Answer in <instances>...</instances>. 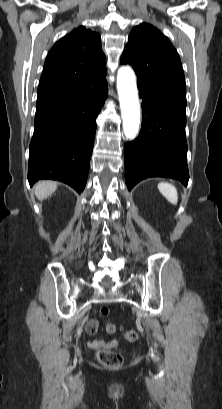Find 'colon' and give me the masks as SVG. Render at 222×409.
I'll use <instances>...</instances> for the list:
<instances>
[{
    "mask_svg": "<svg viewBox=\"0 0 222 409\" xmlns=\"http://www.w3.org/2000/svg\"><path fill=\"white\" fill-rule=\"evenodd\" d=\"M109 312H110V309L107 306H103L101 308L102 315L106 316L109 314ZM116 329L117 327L114 323H108L106 325V330L109 333H114ZM124 337L126 338V340L130 342H135L138 340L139 335L136 331L129 330L124 333ZM97 358H98V361L103 366L108 367V368H119L120 366H122L123 361H124L123 356L119 352L115 350H111V349H105V348H102L98 351Z\"/></svg>",
    "mask_w": 222,
    "mask_h": 409,
    "instance_id": "obj_1",
    "label": "colon"
}]
</instances>
